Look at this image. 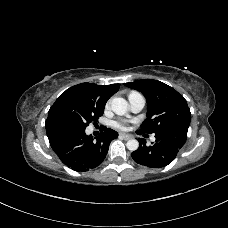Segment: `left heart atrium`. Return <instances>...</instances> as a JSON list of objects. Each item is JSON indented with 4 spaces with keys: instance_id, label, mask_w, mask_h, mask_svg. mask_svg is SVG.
I'll return each instance as SVG.
<instances>
[{
    "instance_id": "1",
    "label": "left heart atrium",
    "mask_w": 228,
    "mask_h": 228,
    "mask_svg": "<svg viewBox=\"0 0 228 228\" xmlns=\"http://www.w3.org/2000/svg\"><path fill=\"white\" fill-rule=\"evenodd\" d=\"M113 126L119 129H125L126 128V122L124 121H119V122H114Z\"/></svg>"
}]
</instances>
